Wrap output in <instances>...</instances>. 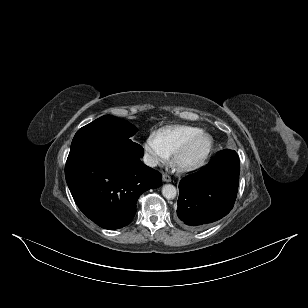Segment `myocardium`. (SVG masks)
I'll return each instance as SVG.
<instances>
[{
  "instance_id": "myocardium-1",
  "label": "myocardium",
  "mask_w": 308,
  "mask_h": 308,
  "mask_svg": "<svg viewBox=\"0 0 308 308\" xmlns=\"http://www.w3.org/2000/svg\"><path fill=\"white\" fill-rule=\"evenodd\" d=\"M205 138L207 140V146L204 150V152L196 159L189 160L186 158L187 153L190 151L192 146L199 140ZM214 146V140L213 137L201 130L195 134H193L191 137H189L175 152L173 156L174 163L177 165V167L181 170L188 171V170H194L202 165L205 164V162L208 160L209 156L212 153Z\"/></svg>"
}]
</instances>
